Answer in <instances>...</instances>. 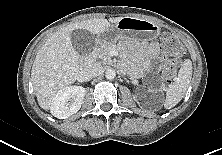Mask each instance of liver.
<instances>
[{
  "instance_id": "liver-1",
  "label": "liver",
  "mask_w": 222,
  "mask_h": 155,
  "mask_svg": "<svg viewBox=\"0 0 222 155\" xmlns=\"http://www.w3.org/2000/svg\"><path fill=\"white\" fill-rule=\"evenodd\" d=\"M122 18H94L72 23L55 32L43 44L31 70V81L41 108L50 109L56 94L74 83L85 66L72 45L71 33L76 29H83L93 35H99Z\"/></svg>"
}]
</instances>
